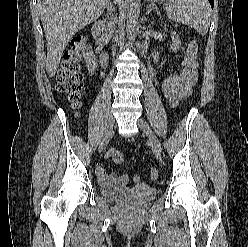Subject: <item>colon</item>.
Masks as SVG:
<instances>
[{
    "label": "colon",
    "instance_id": "5ec220e1",
    "mask_svg": "<svg viewBox=\"0 0 248 247\" xmlns=\"http://www.w3.org/2000/svg\"><path fill=\"white\" fill-rule=\"evenodd\" d=\"M85 44L83 36L76 37L71 44V49L65 53L61 70L57 78V89L65 93L71 101L74 108L80 107V96L84 89L82 75L79 72V61L81 58V51ZM189 57L184 59L181 70L183 71L189 66L197 56L198 44L196 41L189 43ZM178 91L177 74H171L162 83L161 94L165 101L172 102ZM109 158H112L116 163L122 164L124 159L122 155L116 150H110L107 153ZM158 172L156 169L151 170V177L157 178Z\"/></svg>",
    "mask_w": 248,
    "mask_h": 247
}]
</instances>
